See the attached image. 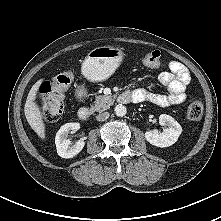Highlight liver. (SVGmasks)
<instances>
[{
	"label": "liver",
	"instance_id": "6515ba94",
	"mask_svg": "<svg viewBox=\"0 0 221 221\" xmlns=\"http://www.w3.org/2000/svg\"><path fill=\"white\" fill-rule=\"evenodd\" d=\"M43 82V79L37 81L29 91L24 107L25 117L31 128L41 138L45 139V124L43 122V113L35 102L37 91Z\"/></svg>",
	"mask_w": 221,
	"mask_h": 221
}]
</instances>
